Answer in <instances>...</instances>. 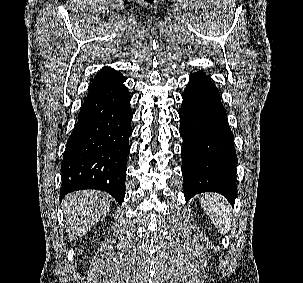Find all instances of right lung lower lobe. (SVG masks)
<instances>
[{
  "label": "right lung lower lobe",
  "instance_id": "1",
  "mask_svg": "<svg viewBox=\"0 0 303 283\" xmlns=\"http://www.w3.org/2000/svg\"><path fill=\"white\" fill-rule=\"evenodd\" d=\"M121 73L90 85L66 145L60 196L83 189L124 201L126 162L132 134L131 96Z\"/></svg>",
  "mask_w": 303,
  "mask_h": 283
}]
</instances>
